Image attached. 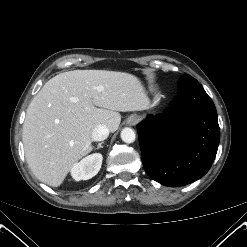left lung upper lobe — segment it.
<instances>
[{"instance_id": "5c2ea615", "label": "left lung upper lobe", "mask_w": 247, "mask_h": 247, "mask_svg": "<svg viewBox=\"0 0 247 247\" xmlns=\"http://www.w3.org/2000/svg\"><path fill=\"white\" fill-rule=\"evenodd\" d=\"M189 78H192L190 75L184 74L179 81L187 80Z\"/></svg>"}]
</instances>
